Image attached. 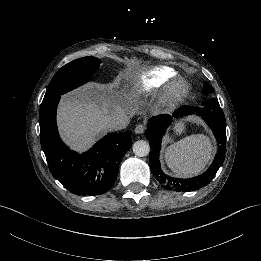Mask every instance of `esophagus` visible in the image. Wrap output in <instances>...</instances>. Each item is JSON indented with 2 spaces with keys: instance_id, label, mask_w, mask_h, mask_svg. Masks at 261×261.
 <instances>
[{
  "instance_id": "1",
  "label": "esophagus",
  "mask_w": 261,
  "mask_h": 261,
  "mask_svg": "<svg viewBox=\"0 0 261 261\" xmlns=\"http://www.w3.org/2000/svg\"><path fill=\"white\" fill-rule=\"evenodd\" d=\"M145 130H146V126L144 124H139L136 126L134 132L136 134H142V133H144Z\"/></svg>"
}]
</instances>
